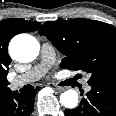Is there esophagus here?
I'll return each mask as SVG.
<instances>
[{"label":"esophagus","mask_w":116,"mask_h":116,"mask_svg":"<svg viewBox=\"0 0 116 116\" xmlns=\"http://www.w3.org/2000/svg\"><path fill=\"white\" fill-rule=\"evenodd\" d=\"M56 92H62L64 88L57 86L56 84L50 83L49 84Z\"/></svg>","instance_id":"34e87169"}]
</instances>
